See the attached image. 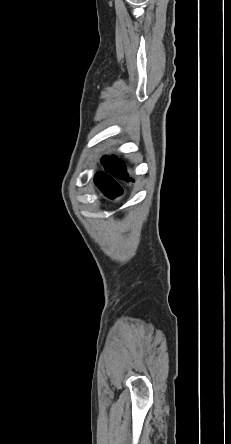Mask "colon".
<instances>
[{"label": "colon", "mask_w": 231, "mask_h": 444, "mask_svg": "<svg viewBox=\"0 0 231 444\" xmlns=\"http://www.w3.org/2000/svg\"><path fill=\"white\" fill-rule=\"evenodd\" d=\"M125 178L123 164L117 159L106 158L104 160V170L97 173L95 180L106 187L108 198L117 199L123 194V189L118 181Z\"/></svg>", "instance_id": "colon-1"}]
</instances>
